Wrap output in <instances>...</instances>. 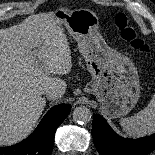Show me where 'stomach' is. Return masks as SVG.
Wrapping results in <instances>:
<instances>
[{"instance_id": "obj_1", "label": "stomach", "mask_w": 155, "mask_h": 155, "mask_svg": "<svg viewBox=\"0 0 155 155\" xmlns=\"http://www.w3.org/2000/svg\"><path fill=\"white\" fill-rule=\"evenodd\" d=\"M66 30L78 44L92 80L84 91L96 96L112 117L126 115L140 97L138 71L130 58L110 48L98 33L97 17L74 12L61 17Z\"/></svg>"}]
</instances>
